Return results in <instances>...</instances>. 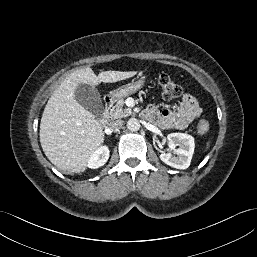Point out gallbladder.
I'll return each instance as SVG.
<instances>
[{"instance_id":"1","label":"gallbladder","mask_w":257,"mask_h":257,"mask_svg":"<svg viewBox=\"0 0 257 257\" xmlns=\"http://www.w3.org/2000/svg\"><path fill=\"white\" fill-rule=\"evenodd\" d=\"M77 102L96 117H102L104 106L97 89L91 85L80 83L75 90Z\"/></svg>"}]
</instances>
